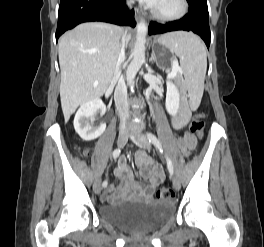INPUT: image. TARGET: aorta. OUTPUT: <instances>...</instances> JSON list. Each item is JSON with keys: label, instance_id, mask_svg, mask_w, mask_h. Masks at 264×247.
<instances>
[{"label": "aorta", "instance_id": "1", "mask_svg": "<svg viewBox=\"0 0 264 247\" xmlns=\"http://www.w3.org/2000/svg\"><path fill=\"white\" fill-rule=\"evenodd\" d=\"M148 32V25L145 20H141L137 25L136 41L132 51L133 59L127 67L126 80L131 91L134 89V79L145 62V43Z\"/></svg>", "mask_w": 264, "mask_h": 247}]
</instances>
